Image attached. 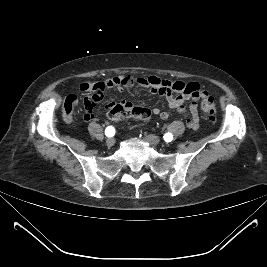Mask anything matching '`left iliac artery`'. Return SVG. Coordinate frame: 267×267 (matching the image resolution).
Returning <instances> with one entry per match:
<instances>
[{"label":"left iliac artery","mask_w":267,"mask_h":267,"mask_svg":"<svg viewBox=\"0 0 267 267\" xmlns=\"http://www.w3.org/2000/svg\"><path fill=\"white\" fill-rule=\"evenodd\" d=\"M163 138L166 142H170L173 139V135L171 133H166Z\"/></svg>","instance_id":"44dca946"}]
</instances>
